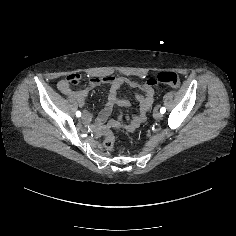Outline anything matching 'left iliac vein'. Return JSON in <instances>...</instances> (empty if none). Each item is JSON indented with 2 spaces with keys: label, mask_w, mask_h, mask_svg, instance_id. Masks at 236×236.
Wrapping results in <instances>:
<instances>
[{
  "label": "left iliac vein",
  "mask_w": 236,
  "mask_h": 236,
  "mask_svg": "<svg viewBox=\"0 0 236 236\" xmlns=\"http://www.w3.org/2000/svg\"><path fill=\"white\" fill-rule=\"evenodd\" d=\"M153 117H154L155 119H161V118H162V113L156 110V111H154V113H153Z\"/></svg>",
  "instance_id": "1"
}]
</instances>
